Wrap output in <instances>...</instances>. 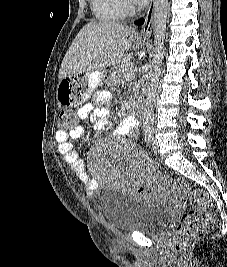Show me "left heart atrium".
I'll return each mask as SVG.
<instances>
[{
  "mask_svg": "<svg viewBox=\"0 0 227 267\" xmlns=\"http://www.w3.org/2000/svg\"><path fill=\"white\" fill-rule=\"evenodd\" d=\"M134 4H136V5H145L147 2H148V0H131Z\"/></svg>",
  "mask_w": 227,
  "mask_h": 267,
  "instance_id": "left-heart-atrium-1",
  "label": "left heart atrium"
}]
</instances>
